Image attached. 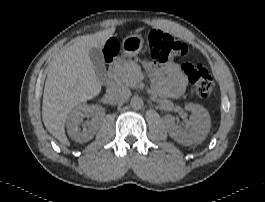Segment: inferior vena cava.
<instances>
[{
	"instance_id": "1",
	"label": "inferior vena cava",
	"mask_w": 265,
	"mask_h": 202,
	"mask_svg": "<svg viewBox=\"0 0 265 202\" xmlns=\"http://www.w3.org/2000/svg\"><path fill=\"white\" fill-rule=\"evenodd\" d=\"M108 96L117 103L126 102L131 96V91L128 87L115 84L107 90Z\"/></svg>"
}]
</instances>
